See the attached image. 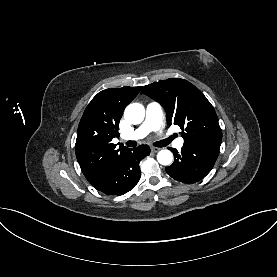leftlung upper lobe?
<instances>
[{
    "label": "left lung upper lobe",
    "mask_w": 277,
    "mask_h": 277,
    "mask_svg": "<svg viewBox=\"0 0 277 277\" xmlns=\"http://www.w3.org/2000/svg\"><path fill=\"white\" fill-rule=\"evenodd\" d=\"M141 93L158 101L165 108L168 124L180 126L184 143L222 139L213 106L190 82L169 78L144 86Z\"/></svg>",
    "instance_id": "left-lung-upper-lobe-1"
}]
</instances>
